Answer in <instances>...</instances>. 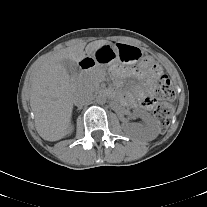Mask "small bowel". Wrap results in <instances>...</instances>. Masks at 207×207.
I'll use <instances>...</instances> for the list:
<instances>
[{
  "label": "small bowel",
  "instance_id": "1",
  "mask_svg": "<svg viewBox=\"0 0 207 207\" xmlns=\"http://www.w3.org/2000/svg\"><path fill=\"white\" fill-rule=\"evenodd\" d=\"M146 66L149 67L148 63ZM128 75H135L142 80V86L135 89V94L126 93L122 96L123 101L130 107L140 106L141 108L150 110L154 106L153 90L155 81L161 76V73L157 76L152 75L149 71L143 68L136 69H115L113 76L117 82H120L124 77Z\"/></svg>",
  "mask_w": 207,
  "mask_h": 207
}]
</instances>
